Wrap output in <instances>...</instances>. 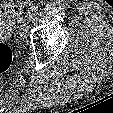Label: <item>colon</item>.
<instances>
[{"mask_svg": "<svg viewBox=\"0 0 113 113\" xmlns=\"http://www.w3.org/2000/svg\"><path fill=\"white\" fill-rule=\"evenodd\" d=\"M21 12L20 4L15 0L2 1L0 4V14L18 16ZM13 60V51L10 45L0 41V73L9 69Z\"/></svg>", "mask_w": 113, "mask_h": 113, "instance_id": "colon-1", "label": "colon"}]
</instances>
